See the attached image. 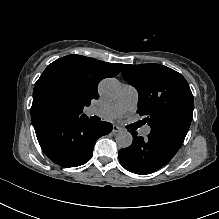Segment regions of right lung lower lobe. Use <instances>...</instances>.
I'll list each match as a JSON object with an SVG mask.
<instances>
[{
	"instance_id": "98d812e1",
	"label": "right lung lower lobe",
	"mask_w": 219,
	"mask_h": 219,
	"mask_svg": "<svg viewBox=\"0 0 219 219\" xmlns=\"http://www.w3.org/2000/svg\"><path fill=\"white\" fill-rule=\"evenodd\" d=\"M35 133L45 155L62 167H77L90 160L98 138L112 131L109 122L95 123L87 116H37Z\"/></svg>"
}]
</instances>
